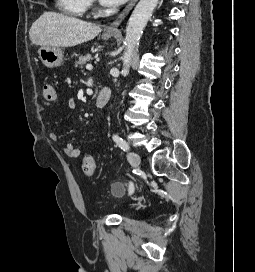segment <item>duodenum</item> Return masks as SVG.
<instances>
[{"mask_svg": "<svg viewBox=\"0 0 255 272\" xmlns=\"http://www.w3.org/2000/svg\"><path fill=\"white\" fill-rule=\"evenodd\" d=\"M111 97H112L111 89L107 86H104L101 89V91L96 99V106L98 108L105 107L108 104V102L110 101Z\"/></svg>", "mask_w": 255, "mask_h": 272, "instance_id": "1", "label": "duodenum"}]
</instances>
